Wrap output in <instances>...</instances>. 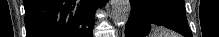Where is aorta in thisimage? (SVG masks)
I'll return each mask as SVG.
<instances>
[{
	"mask_svg": "<svg viewBox=\"0 0 219 37\" xmlns=\"http://www.w3.org/2000/svg\"><path fill=\"white\" fill-rule=\"evenodd\" d=\"M129 0H111V16L115 26L123 27L130 16Z\"/></svg>",
	"mask_w": 219,
	"mask_h": 37,
	"instance_id": "aorta-1",
	"label": "aorta"
}]
</instances>
